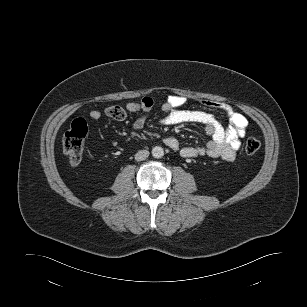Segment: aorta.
<instances>
[{"label": "aorta", "instance_id": "obj_1", "mask_svg": "<svg viewBox=\"0 0 307 307\" xmlns=\"http://www.w3.org/2000/svg\"><path fill=\"white\" fill-rule=\"evenodd\" d=\"M163 155H164V150H163L162 147H160V146L153 147L152 156L154 158H161V157H163Z\"/></svg>", "mask_w": 307, "mask_h": 307}]
</instances>
